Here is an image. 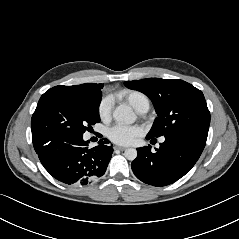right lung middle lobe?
Segmentation results:
<instances>
[{"mask_svg": "<svg viewBox=\"0 0 239 239\" xmlns=\"http://www.w3.org/2000/svg\"><path fill=\"white\" fill-rule=\"evenodd\" d=\"M101 98V91L75 86H56L45 92L31 120L35 151L59 135H83L100 121Z\"/></svg>", "mask_w": 239, "mask_h": 239, "instance_id": "dd1d6c3e", "label": "right lung middle lobe"}]
</instances>
